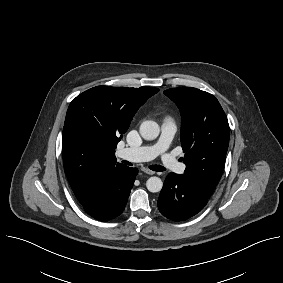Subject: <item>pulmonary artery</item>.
Returning a JSON list of instances; mask_svg holds the SVG:
<instances>
[{"mask_svg":"<svg viewBox=\"0 0 283 283\" xmlns=\"http://www.w3.org/2000/svg\"><path fill=\"white\" fill-rule=\"evenodd\" d=\"M176 130L175 122L167 118L161 125V135L155 143L136 148H122L117 154L120 158L133 161H150L160 156L165 168L177 174H183L186 169L185 164L179 162V160L168 151Z\"/></svg>","mask_w":283,"mask_h":283,"instance_id":"e3ab8cb5","label":"pulmonary artery"}]
</instances>
